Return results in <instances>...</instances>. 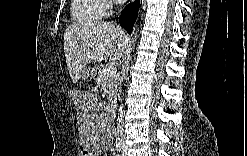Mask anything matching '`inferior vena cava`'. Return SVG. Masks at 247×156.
<instances>
[{"label": "inferior vena cava", "mask_w": 247, "mask_h": 156, "mask_svg": "<svg viewBox=\"0 0 247 156\" xmlns=\"http://www.w3.org/2000/svg\"><path fill=\"white\" fill-rule=\"evenodd\" d=\"M118 121H119V132H120V136L123 137V126H122V121H123V111H122V106L119 109V116H118Z\"/></svg>", "instance_id": "602c4592"}]
</instances>
